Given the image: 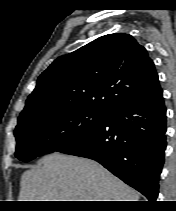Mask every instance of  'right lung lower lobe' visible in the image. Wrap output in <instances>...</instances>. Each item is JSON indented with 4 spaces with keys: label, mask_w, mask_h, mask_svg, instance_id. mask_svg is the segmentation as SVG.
Returning <instances> with one entry per match:
<instances>
[{
    "label": "right lung lower lobe",
    "mask_w": 176,
    "mask_h": 211,
    "mask_svg": "<svg viewBox=\"0 0 176 211\" xmlns=\"http://www.w3.org/2000/svg\"><path fill=\"white\" fill-rule=\"evenodd\" d=\"M163 91L107 113L105 120L59 152L101 163L150 202L156 201L166 148Z\"/></svg>",
    "instance_id": "98d812e1"
}]
</instances>
